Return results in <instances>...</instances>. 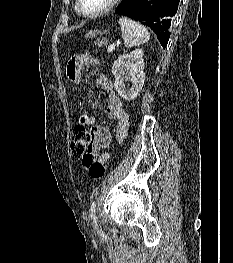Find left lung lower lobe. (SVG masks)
<instances>
[{
    "instance_id": "0a47b994",
    "label": "left lung lower lobe",
    "mask_w": 233,
    "mask_h": 263,
    "mask_svg": "<svg viewBox=\"0 0 233 263\" xmlns=\"http://www.w3.org/2000/svg\"><path fill=\"white\" fill-rule=\"evenodd\" d=\"M180 0H122L115 13L127 16L150 27L166 47L171 19L178 9Z\"/></svg>"
}]
</instances>
